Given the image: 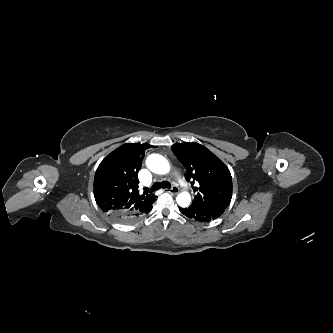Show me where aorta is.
I'll list each match as a JSON object with an SVG mask.
<instances>
[{
  "label": "aorta",
  "mask_w": 333,
  "mask_h": 333,
  "mask_svg": "<svg viewBox=\"0 0 333 333\" xmlns=\"http://www.w3.org/2000/svg\"><path fill=\"white\" fill-rule=\"evenodd\" d=\"M146 165L150 171L156 174H167L170 171V165L167 159L159 154H151L146 160ZM176 201L180 207H187L191 202V196L188 192L180 193Z\"/></svg>",
  "instance_id": "aorta-1"
}]
</instances>
